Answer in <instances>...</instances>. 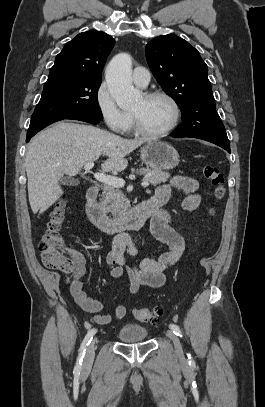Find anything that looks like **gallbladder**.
<instances>
[{
    "label": "gallbladder",
    "instance_id": "gallbladder-1",
    "mask_svg": "<svg viewBox=\"0 0 265 407\" xmlns=\"http://www.w3.org/2000/svg\"><path fill=\"white\" fill-rule=\"evenodd\" d=\"M61 184L63 185H78L79 181L74 179V178H70V177H64L61 179Z\"/></svg>",
    "mask_w": 265,
    "mask_h": 407
}]
</instances>
